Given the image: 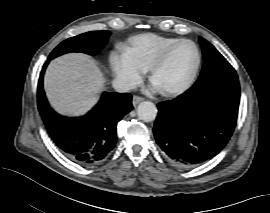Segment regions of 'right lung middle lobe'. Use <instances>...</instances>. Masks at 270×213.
Here are the masks:
<instances>
[{
	"instance_id": "1",
	"label": "right lung middle lobe",
	"mask_w": 270,
	"mask_h": 213,
	"mask_svg": "<svg viewBox=\"0 0 270 213\" xmlns=\"http://www.w3.org/2000/svg\"><path fill=\"white\" fill-rule=\"evenodd\" d=\"M110 36L109 31H91L71 37L60 43L49 55L48 60L68 52L96 54Z\"/></svg>"
}]
</instances>
